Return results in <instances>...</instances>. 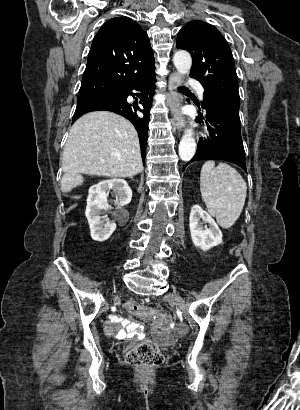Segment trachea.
<instances>
[{
  "mask_svg": "<svg viewBox=\"0 0 300 410\" xmlns=\"http://www.w3.org/2000/svg\"><path fill=\"white\" fill-rule=\"evenodd\" d=\"M179 90H184V91H186V90H188V89L185 88V87H179Z\"/></svg>",
  "mask_w": 300,
  "mask_h": 410,
  "instance_id": "1",
  "label": "trachea"
}]
</instances>
